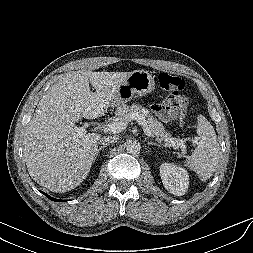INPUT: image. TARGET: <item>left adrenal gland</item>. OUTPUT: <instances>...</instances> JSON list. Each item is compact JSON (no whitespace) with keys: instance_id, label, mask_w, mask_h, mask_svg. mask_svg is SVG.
<instances>
[{"instance_id":"1","label":"left adrenal gland","mask_w":253,"mask_h":253,"mask_svg":"<svg viewBox=\"0 0 253 253\" xmlns=\"http://www.w3.org/2000/svg\"><path fill=\"white\" fill-rule=\"evenodd\" d=\"M147 143L149 145H152V146L154 145V146L162 147L160 144H157V143H154V142L147 141Z\"/></svg>"}]
</instances>
